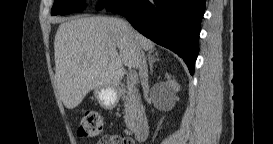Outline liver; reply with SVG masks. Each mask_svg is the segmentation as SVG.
I'll list each match as a JSON object with an SVG mask.
<instances>
[{"label": "liver", "instance_id": "1", "mask_svg": "<svg viewBox=\"0 0 273 144\" xmlns=\"http://www.w3.org/2000/svg\"><path fill=\"white\" fill-rule=\"evenodd\" d=\"M117 17H85L60 24L54 40L55 79L67 109L96 88H117L123 66L138 68L136 49L154 42ZM119 50V52H118Z\"/></svg>", "mask_w": 273, "mask_h": 144}]
</instances>
